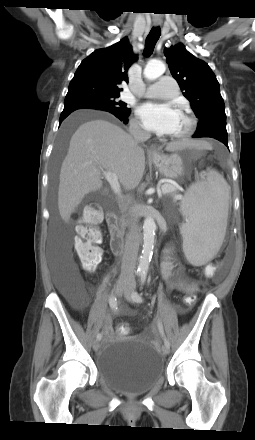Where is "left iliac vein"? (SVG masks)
Segmentation results:
<instances>
[{"label":"left iliac vein","mask_w":255,"mask_h":440,"mask_svg":"<svg viewBox=\"0 0 255 440\" xmlns=\"http://www.w3.org/2000/svg\"><path fill=\"white\" fill-rule=\"evenodd\" d=\"M133 294H134L133 284H130V285L127 287V289L125 290V292H124L125 298H126L129 302H134ZM162 351H163V353H164L165 355H167V354H169V352H170V347L164 345V346L162 347Z\"/></svg>","instance_id":"4c4485c4"}]
</instances>
